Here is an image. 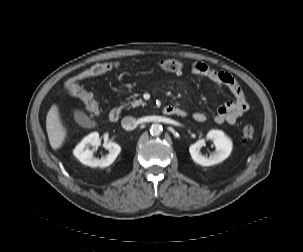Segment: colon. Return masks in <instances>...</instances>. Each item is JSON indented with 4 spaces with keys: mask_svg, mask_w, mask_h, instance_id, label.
Wrapping results in <instances>:
<instances>
[{
    "mask_svg": "<svg viewBox=\"0 0 303 252\" xmlns=\"http://www.w3.org/2000/svg\"><path fill=\"white\" fill-rule=\"evenodd\" d=\"M154 67L171 73H181L184 70V64L174 59H163L152 62ZM120 67L118 62L97 63L78 73L68 82V89L71 94L79 96L85 103L86 109L91 116L97 115L99 105L92 93L85 91L79 82L87 77L99 76L117 70ZM255 134V128L251 124L243 126L242 135L245 138H251Z\"/></svg>",
    "mask_w": 303,
    "mask_h": 252,
    "instance_id": "obj_1",
    "label": "colon"
}]
</instances>
